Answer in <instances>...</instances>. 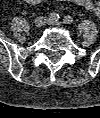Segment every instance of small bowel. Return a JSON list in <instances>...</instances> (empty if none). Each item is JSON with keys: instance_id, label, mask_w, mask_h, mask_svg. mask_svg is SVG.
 <instances>
[{"instance_id": "small-bowel-1", "label": "small bowel", "mask_w": 100, "mask_h": 118, "mask_svg": "<svg viewBox=\"0 0 100 118\" xmlns=\"http://www.w3.org/2000/svg\"><path fill=\"white\" fill-rule=\"evenodd\" d=\"M23 1H25L28 4H39L43 0H23ZM55 1L74 3L76 5L86 8L87 10L91 11L97 16L100 15V6L97 3V1L96 2L93 0H55ZM98 2H100V0H98Z\"/></svg>"}]
</instances>
